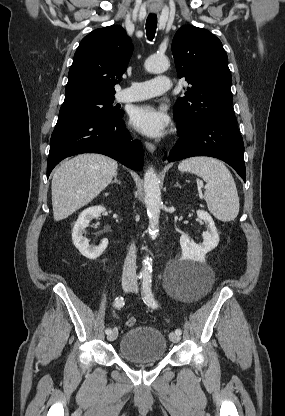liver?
Listing matches in <instances>:
<instances>
[{
  "label": "liver",
  "mask_w": 285,
  "mask_h": 416,
  "mask_svg": "<svg viewBox=\"0 0 285 416\" xmlns=\"http://www.w3.org/2000/svg\"><path fill=\"white\" fill-rule=\"evenodd\" d=\"M115 160L101 154H81L57 168L52 178V208L56 222L92 202L117 174Z\"/></svg>",
  "instance_id": "liver-1"
}]
</instances>
